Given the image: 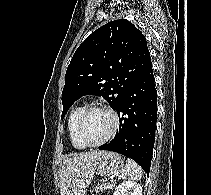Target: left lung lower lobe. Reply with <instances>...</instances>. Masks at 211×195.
<instances>
[{
    "label": "left lung lower lobe",
    "instance_id": "1",
    "mask_svg": "<svg viewBox=\"0 0 211 195\" xmlns=\"http://www.w3.org/2000/svg\"><path fill=\"white\" fill-rule=\"evenodd\" d=\"M120 129L100 150L121 153L149 174L157 121V91L150 61L132 84L116 110Z\"/></svg>",
    "mask_w": 211,
    "mask_h": 195
}]
</instances>
